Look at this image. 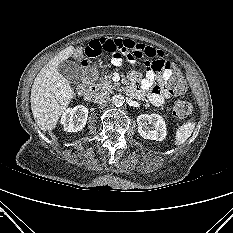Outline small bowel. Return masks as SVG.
Masks as SVG:
<instances>
[{"label":"small bowel","mask_w":233,"mask_h":233,"mask_svg":"<svg viewBox=\"0 0 233 233\" xmlns=\"http://www.w3.org/2000/svg\"><path fill=\"white\" fill-rule=\"evenodd\" d=\"M79 51L85 58L99 57L104 53L110 54L111 62L115 66L123 63V56L132 64L145 57L147 67L145 77L141 79L139 73L131 72L129 91L137 96L147 94L151 103L157 106L164 104L165 99L173 94L167 84V80L172 75V67L159 49L129 39L99 38L82 44ZM83 62L87 64V60Z\"/></svg>","instance_id":"1"}]
</instances>
